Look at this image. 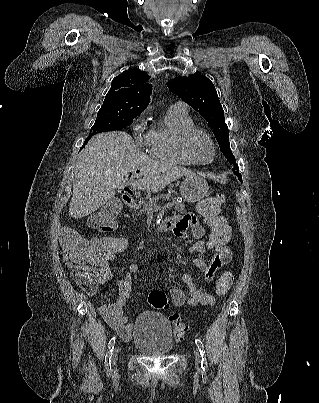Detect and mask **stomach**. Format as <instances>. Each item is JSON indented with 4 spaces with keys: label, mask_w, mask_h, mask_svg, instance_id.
<instances>
[{
    "label": "stomach",
    "mask_w": 319,
    "mask_h": 403,
    "mask_svg": "<svg viewBox=\"0 0 319 403\" xmlns=\"http://www.w3.org/2000/svg\"><path fill=\"white\" fill-rule=\"evenodd\" d=\"M180 191L184 201L194 203L207 196L209 186L204 178L196 175H189L183 180Z\"/></svg>",
    "instance_id": "obj_1"
}]
</instances>
